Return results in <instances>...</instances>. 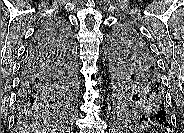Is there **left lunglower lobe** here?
<instances>
[{"label":"left lung lower lobe","mask_w":184,"mask_h":133,"mask_svg":"<svg viewBox=\"0 0 184 133\" xmlns=\"http://www.w3.org/2000/svg\"><path fill=\"white\" fill-rule=\"evenodd\" d=\"M161 82H162L161 78H159L157 82V86H153V89L150 92H148L149 95L154 99V107L158 108L159 110L158 113L153 114L150 117L151 119H148V120L151 121V123H156L166 128H169L170 117H169V112L166 109L167 102L165 98L164 88ZM124 119H126V121L131 120L128 116H124Z\"/></svg>","instance_id":"left-lung-lower-lobe-1"}]
</instances>
